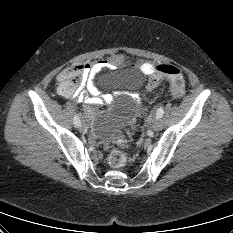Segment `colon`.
<instances>
[{
	"mask_svg": "<svg viewBox=\"0 0 233 233\" xmlns=\"http://www.w3.org/2000/svg\"><path fill=\"white\" fill-rule=\"evenodd\" d=\"M82 77V66H71L65 68L57 76L59 90L64 94L74 92L80 85ZM167 77L170 80L171 92L174 97L182 98L186 93V82L181 71L171 65H159L156 72L150 78L148 89H155L161 79ZM127 143V139L123 134H119L115 139L116 148H114L109 156V164L116 169H120L126 165V154L118 147H123Z\"/></svg>",
	"mask_w": 233,
	"mask_h": 233,
	"instance_id": "5ec220e1",
	"label": "colon"
}]
</instances>
